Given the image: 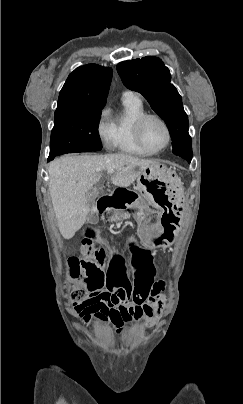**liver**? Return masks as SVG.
<instances>
[{
  "label": "liver",
  "instance_id": "obj_1",
  "mask_svg": "<svg viewBox=\"0 0 243 404\" xmlns=\"http://www.w3.org/2000/svg\"><path fill=\"white\" fill-rule=\"evenodd\" d=\"M157 166L154 160H141L128 154L106 156H62L49 166V192L60 234L70 240L84 226L88 214L86 194L106 170H114L111 182L127 188L139 170ZM139 168V170H136Z\"/></svg>",
  "mask_w": 243,
  "mask_h": 404
}]
</instances>
